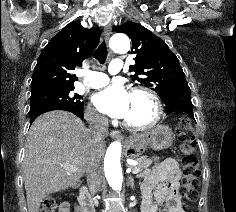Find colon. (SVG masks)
I'll use <instances>...</instances> for the list:
<instances>
[{"instance_id":"colon-1","label":"colon","mask_w":236,"mask_h":212,"mask_svg":"<svg viewBox=\"0 0 236 212\" xmlns=\"http://www.w3.org/2000/svg\"><path fill=\"white\" fill-rule=\"evenodd\" d=\"M177 133L181 140L179 148L183 171V187L181 191L189 201H195L198 198L197 181L200 175V168L198 157L193 153L196 140L189 118L181 119ZM57 208L56 199L48 196L43 200L39 212H56Z\"/></svg>"}]
</instances>
